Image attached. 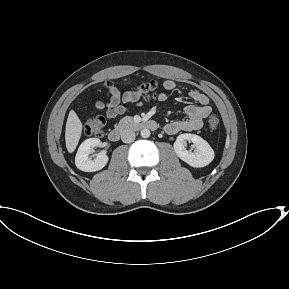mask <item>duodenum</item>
Listing matches in <instances>:
<instances>
[{
	"instance_id": "410a0bca",
	"label": "duodenum",
	"mask_w": 289,
	"mask_h": 289,
	"mask_svg": "<svg viewBox=\"0 0 289 289\" xmlns=\"http://www.w3.org/2000/svg\"><path fill=\"white\" fill-rule=\"evenodd\" d=\"M158 128V123L153 120L148 121H132L127 120L119 124L117 127L113 128L109 134L108 138L110 141H118L120 137L127 131L130 130H142V129H150L156 130Z\"/></svg>"
}]
</instances>
